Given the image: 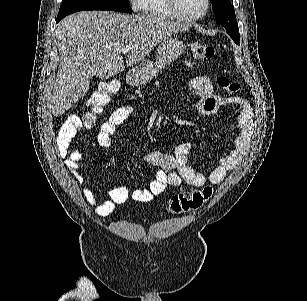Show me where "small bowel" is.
Here are the masks:
<instances>
[{
	"mask_svg": "<svg viewBox=\"0 0 307 301\" xmlns=\"http://www.w3.org/2000/svg\"><path fill=\"white\" fill-rule=\"evenodd\" d=\"M187 86L198 97L197 109L202 114H215L222 106L232 107L236 110L237 131L229 153L214 161L211 172L204 175L194 171L187 163L188 155L194 149L192 142L179 144L173 154L152 151L147 154L145 160L147 163L159 167V170L148 188L137 189L130 193L125 186L113 187L108 190L105 199H100L92 189L83 188V197L94 206L98 216L110 215L117 204L124 203L129 198L139 202L151 201L168 186H180L182 183H187L201 187L207 181L220 183L228 172L234 170L241 163L253 130V113L249 103L242 97H223L215 94L210 80L205 76L192 78ZM132 112L133 108L125 105L116 108L110 114L109 118L101 125L97 135V142L101 147L109 148L111 146L112 136L131 116ZM81 128L80 117L70 116L61 126L57 137L58 153L65 159L66 167L72 172L78 183H82L84 180L79 171L83 158L79 149L72 146V141Z\"/></svg>",
	"mask_w": 307,
	"mask_h": 301,
	"instance_id": "small-bowel-1",
	"label": "small bowel"
}]
</instances>
